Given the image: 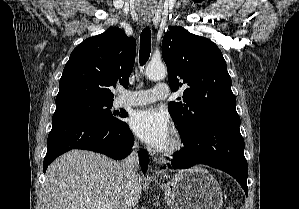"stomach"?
Returning <instances> with one entry per match:
<instances>
[{
    "instance_id": "obj_1",
    "label": "stomach",
    "mask_w": 299,
    "mask_h": 209,
    "mask_svg": "<svg viewBox=\"0 0 299 209\" xmlns=\"http://www.w3.org/2000/svg\"><path fill=\"white\" fill-rule=\"evenodd\" d=\"M171 209H220L223 194L208 170H182L171 181L159 185Z\"/></svg>"
}]
</instances>
